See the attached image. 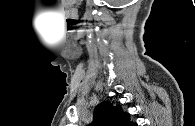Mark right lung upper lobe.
I'll return each mask as SVG.
<instances>
[{"mask_svg":"<svg viewBox=\"0 0 195 126\" xmlns=\"http://www.w3.org/2000/svg\"><path fill=\"white\" fill-rule=\"evenodd\" d=\"M93 126H137L130 121V114L123 112L120 105L109 101L99 104L94 111Z\"/></svg>","mask_w":195,"mask_h":126,"instance_id":"right-lung-upper-lobe-1","label":"right lung upper lobe"}]
</instances>
